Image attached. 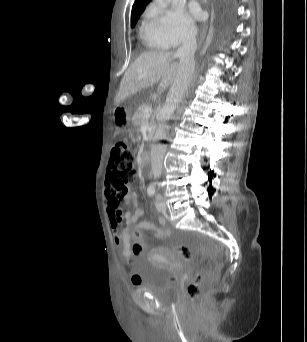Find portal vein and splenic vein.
Masks as SVG:
<instances>
[{"mask_svg": "<svg viewBox=\"0 0 307 342\" xmlns=\"http://www.w3.org/2000/svg\"><path fill=\"white\" fill-rule=\"evenodd\" d=\"M154 110H155V107H154L153 105H150V106L148 107V112H153ZM148 112H145V113L143 114V117H144L145 119H148V118L150 117V114H149Z\"/></svg>", "mask_w": 307, "mask_h": 342, "instance_id": "obj_1", "label": "portal vein and splenic vein"}]
</instances>
